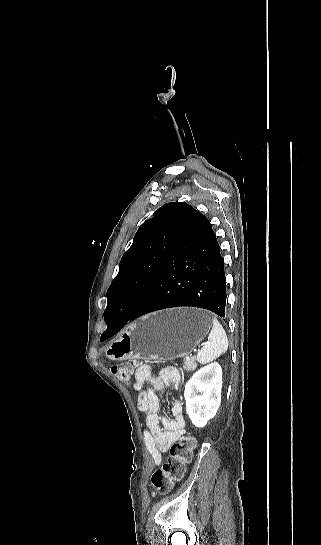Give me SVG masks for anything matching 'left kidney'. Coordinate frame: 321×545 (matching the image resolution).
I'll use <instances>...</instances> for the list:
<instances>
[{
    "mask_svg": "<svg viewBox=\"0 0 321 545\" xmlns=\"http://www.w3.org/2000/svg\"><path fill=\"white\" fill-rule=\"evenodd\" d=\"M221 389L222 369L218 363L199 369L186 383V413L195 427H205L215 417L221 403Z\"/></svg>",
    "mask_w": 321,
    "mask_h": 545,
    "instance_id": "1",
    "label": "left kidney"
}]
</instances>
